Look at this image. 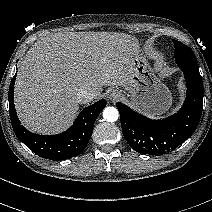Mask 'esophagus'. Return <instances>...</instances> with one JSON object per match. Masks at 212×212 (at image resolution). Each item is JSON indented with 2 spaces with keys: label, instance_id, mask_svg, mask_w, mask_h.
<instances>
[{
  "label": "esophagus",
  "instance_id": "esophagus-1",
  "mask_svg": "<svg viewBox=\"0 0 212 212\" xmlns=\"http://www.w3.org/2000/svg\"><path fill=\"white\" fill-rule=\"evenodd\" d=\"M118 97H119V94H118V92H116L115 90L111 91V92L108 94V98H109L110 100H116Z\"/></svg>",
  "mask_w": 212,
  "mask_h": 212
}]
</instances>
